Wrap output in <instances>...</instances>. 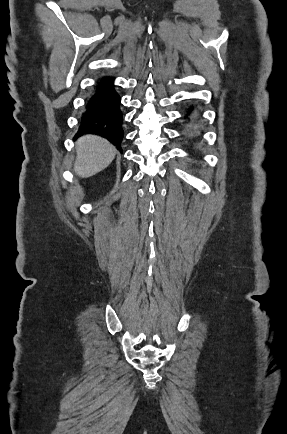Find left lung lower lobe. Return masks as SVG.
I'll use <instances>...</instances> for the list:
<instances>
[{"instance_id": "obj_1", "label": "left lung lower lobe", "mask_w": 287, "mask_h": 434, "mask_svg": "<svg viewBox=\"0 0 287 434\" xmlns=\"http://www.w3.org/2000/svg\"><path fill=\"white\" fill-rule=\"evenodd\" d=\"M192 111H193V107H191V108L187 111V114H186V116H185V118H186L187 120H190L189 118H190V114L192 113Z\"/></svg>"}]
</instances>
